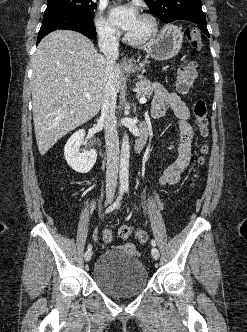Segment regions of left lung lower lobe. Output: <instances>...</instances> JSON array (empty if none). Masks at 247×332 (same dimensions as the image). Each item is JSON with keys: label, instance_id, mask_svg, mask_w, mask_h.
Wrapping results in <instances>:
<instances>
[{"label": "left lung lower lobe", "instance_id": "left-lung-lower-lobe-1", "mask_svg": "<svg viewBox=\"0 0 247 332\" xmlns=\"http://www.w3.org/2000/svg\"><path fill=\"white\" fill-rule=\"evenodd\" d=\"M193 27H195L196 29H199L203 32V34H204V35H202L203 38L205 36L210 37L208 29H207L206 20L195 21Z\"/></svg>", "mask_w": 247, "mask_h": 332}]
</instances>
